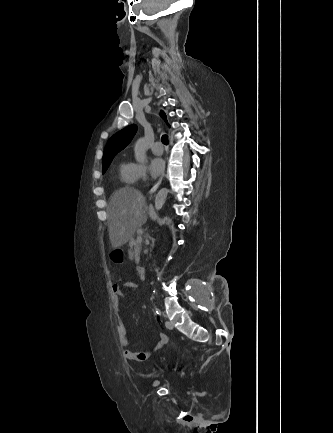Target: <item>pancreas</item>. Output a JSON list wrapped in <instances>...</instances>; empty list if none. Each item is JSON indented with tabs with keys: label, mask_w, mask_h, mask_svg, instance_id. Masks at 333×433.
<instances>
[{
	"label": "pancreas",
	"mask_w": 333,
	"mask_h": 433,
	"mask_svg": "<svg viewBox=\"0 0 333 433\" xmlns=\"http://www.w3.org/2000/svg\"><path fill=\"white\" fill-rule=\"evenodd\" d=\"M130 250H129V258L134 259L138 264L140 262V254L142 250L141 243L137 242V239H131L129 242Z\"/></svg>",
	"instance_id": "1"
}]
</instances>
